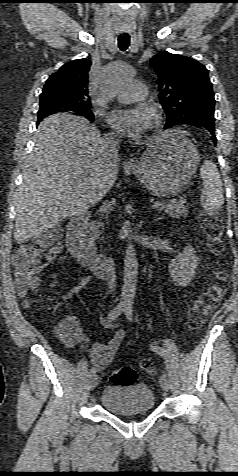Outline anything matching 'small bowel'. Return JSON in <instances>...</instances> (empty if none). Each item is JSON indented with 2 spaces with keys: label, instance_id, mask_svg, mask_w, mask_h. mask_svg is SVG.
<instances>
[{
  "label": "small bowel",
  "instance_id": "obj_1",
  "mask_svg": "<svg viewBox=\"0 0 238 476\" xmlns=\"http://www.w3.org/2000/svg\"><path fill=\"white\" fill-rule=\"evenodd\" d=\"M58 282L59 277L54 275L50 286L55 287ZM55 331L61 341L69 348L75 345H86L89 342V338L83 332L80 322L73 316H68L59 322ZM124 337L125 332L120 330L112 339L98 342L93 346V348L85 349V352L96 371H101L112 362L117 349L124 340Z\"/></svg>",
  "mask_w": 238,
  "mask_h": 476
}]
</instances>
